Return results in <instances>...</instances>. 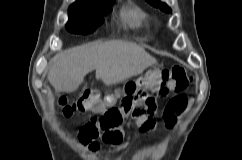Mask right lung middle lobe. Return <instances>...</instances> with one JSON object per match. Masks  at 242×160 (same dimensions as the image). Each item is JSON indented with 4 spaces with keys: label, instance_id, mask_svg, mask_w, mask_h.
<instances>
[{
    "label": "right lung middle lobe",
    "instance_id": "right-lung-middle-lobe-1",
    "mask_svg": "<svg viewBox=\"0 0 242 160\" xmlns=\"http://www.w3.org/2000/svg\"><path fill=\"white\" fill-rule=\"evenodd\" d=\"M113 1H97L87 5H73L69 8L68 31L89 34L101 23L105 12L110 11Z\"/></svg>",
    "mask_w": 242,
    "mask_h": 160
}]
</instances>
